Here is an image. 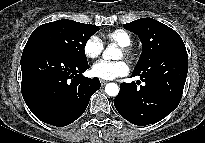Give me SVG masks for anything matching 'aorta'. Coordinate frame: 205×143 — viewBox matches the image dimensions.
I'll list each match as a JSON object with an SVG mask.
<instances>
[{
	"label": "aorta",
	"instance_id": "762f6f07",
	"mask_svg": "<svg viewBox=\"0 0 205 143\" xmlns=\"http://www.w3.org/2000/svg\"><path fill=\"white\" fill-rule=\"evenodd\" d=\"M118 52L113 46H108L106 50L103 52V59H117ZM105 92L109 96H116L119 93V87L116 83H108L105 86Z\"/></svg>",
	"mask_w": 205,
	"mask_h": 143
}]
</instances>
